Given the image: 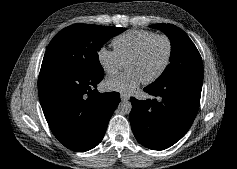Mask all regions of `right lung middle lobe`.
<instances>
[{
  "mask_svg": "<svg viewBox=\"0 0 237 169\" xmlns=\"http://www.w3.org/2000/svg\"><path fill=\"white\" fill-rule=\"evenodd\" d=\"M125 28L74 24L61 30L50 42L41 69H58L96 76L104 73L97 52Z\"/></svg>",
  "mask_w": 237,
  "mask_h": 169,
  "instance_id": "obj_1",
  "label": "right lung middle lobe"
}]
</instances>
